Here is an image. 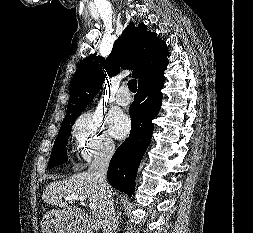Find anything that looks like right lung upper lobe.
Wrapping results in <instances>:
<instances>
[{"label":"right lung upper lobe","mask_w":253,"mask_h":233,"mask_svg":"<svg viewBox=\"0 0 253 233\" xmlns=\"http://www.w3.org/2000/svg\"><path fill=\"white\" fill-rule=\"evenodd\" d=\"M168 55L165 42L156 33L148 31L143 23L137 26L130 23L114 43L106 60L95 53L80 63L70 82V102L65 118L86 108L107 75H117L120 68L131 69L139 85L153 74L166 69Z\"/></svg>","instance_id":"1"}]
</instances>
